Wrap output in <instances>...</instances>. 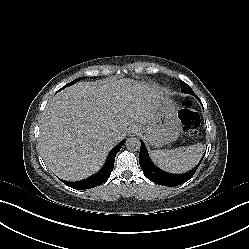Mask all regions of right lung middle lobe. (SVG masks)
<instances>
[{
	"mask_svg": "<svg viewBox=\"0 0 249 249\" xmlns=\"http://www.w3.org/2000/svg\"><path fill=\"white\" fill-rule=\"evenodd\" d=\"M76 81H74V82H72V83H70V84H68V85H71V84H73V83H75Z\"/></svg>",
	"mask_w": 249,
	"mask_h": 249,
	"instance_id": "obj_1",
	"label": "right lung middle lobe"
}]
</instances>
